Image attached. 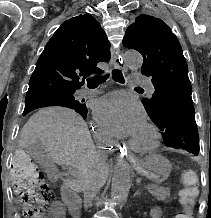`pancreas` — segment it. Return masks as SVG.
Wrapping results in <instances>:
<instances>
[{
  "label": "pancreas",
  "instance_id": "pancreas-1",
  "mask_svg": "<svg viewBox=\"0 0 211 218\" xmlns=\"http://www.w3.org/2000/svg\"><path fill=\"white\" fill-rule=\"evenodd\" d=\"M148 190L152 196H156L157 200H163L165 202L166 198L170 196V188H158L155 184L148 186ZM71 204H78V199H71Z\"/></svg>",
  "mask_w": 211,
  "mask_h": 218
}]
</instances>
